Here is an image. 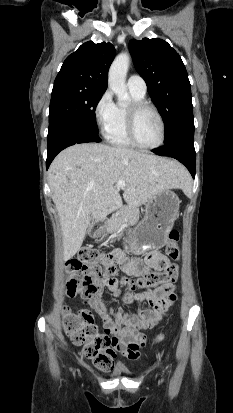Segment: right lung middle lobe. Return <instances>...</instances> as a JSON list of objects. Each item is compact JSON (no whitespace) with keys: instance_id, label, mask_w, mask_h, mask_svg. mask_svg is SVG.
Masks as SVG:
<instances>
[{"instance_id":"1","label":"right lung middle lobe","mask_w":233,"mask_h":413,"mask_svg":"<svg viewBox=\"0 0 233 413\" xmlns=\"http://www.w3.org/2000/svg\"><path fill=\"white\" fill-rule=\"evenodd\" d=\"M103 93L76 85L54 86L48 132L60 126H70L98 134L95 109Z\"/></svg>"}]
</instances>
